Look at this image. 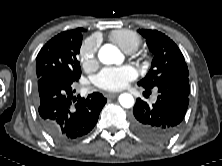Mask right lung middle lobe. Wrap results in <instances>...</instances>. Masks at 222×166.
Masks as SVG:
<instances>
[{"label": "right lung middle lobe", "instance_id": "obj_1", "mask_svg": "<svg viewBox=\"0 0 222 166\" xmlns=\"http://www.w3.org/2000/svg\"><path fill=\"white\" fill-rule=\"evenodd\" d=\"M82 31H64L42 47L36 58L37 78L50 72H62L70 78H80L81 69L77 55L82 43Z\"/></svg>", "mask_w": 222, "mask_h": 166}]
</instances>
